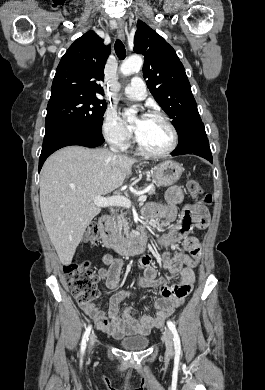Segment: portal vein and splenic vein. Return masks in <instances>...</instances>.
<instances>
[{"mask_svg": "<svg viewBox=\"0 0 265 390\" xmlns=\"http://www.w3.org/2000/svg\"><path fill=\"white\" fill-rule=\"evenodd\" d=\"M149 191V189H145L141 192V195L138 198V201L144 202L146 200L145 193ZM92 204L99 207H109V206H121L125 208L131 207V201L125 196H111V197H96L92 200Z\"/></svg>", "mask_w": 265, "mask_h": 390, "instance_id": "portal-vein-and-splenic-vein-1", "label": "portal vein and splenic vein"}]
</instances>
